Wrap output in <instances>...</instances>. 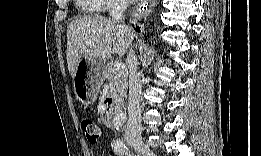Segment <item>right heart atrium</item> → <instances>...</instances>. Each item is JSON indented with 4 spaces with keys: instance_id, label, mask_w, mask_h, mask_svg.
Listing matches in <instances>:
<instances>
[{
    "instance_id": "1",
    "label": "right heart atrium",
    "mask_w": 261,
    "mask_h": 156,
    "mask_svg": "<svg viewBox=\"0 0 261 156\" xmlns=\"http://www.w3.org/2000/svg\"><path fill=\"white\" fill-rule=\"evenodd\" d=\"M96 1L97 3L94 9L99 11L112 10L120 6V2L115 0H96Z\"/></svg>"
}]
</instances>
